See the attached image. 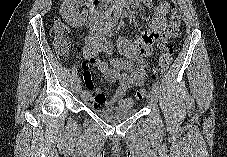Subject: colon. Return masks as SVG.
I'll list each match as a JSON object with an SVG mask.
<instances>
[{"instance_id":"obj_1","label":"colon","mask_w":227,"mask_h":157,"mask_svg":"<svg viewBox=\"0 0 227 157\" xmlns=\"http://www.w3.org/2000/svg\"><path fill=\"white\" fill-rule=\"evenodd\" d=\"M180 24V16L174 11L170 17V21L163 35L162 52L159 58L157 75L165 74L170 67L172 46L169 42L178 38L180 34ZM68 33L69 30L67 26L59 18H56L52 23L50 35L56 55L63 60L68 58L72 50V43L68 38ZM157 75L155 76V78L157 77ZM145 95L146 89L143 88L136 93L135 98L127 97L122 99L120 106L131 107L134 104L135 100H140Z\"/></svg>"}]
</instances>
